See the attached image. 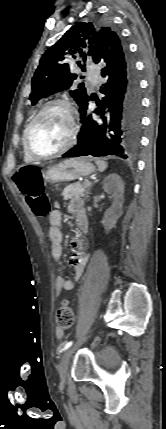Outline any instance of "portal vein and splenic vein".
<instances>
[{"mask_svg":"<svg viewBox=\"0 0 166 429\" xmlns=\"http://www.w3.org/2000/svg\"><path fill=\"white\" fill-rule=\"evenodd\" d=\"M83 184H89V181H87V182H85V183H83Z\"/></svg>","mask_w":166,"mask_h":429,"instance_id":"18ae733b","label":"portal vein and splenic vein"}]
</instances>
